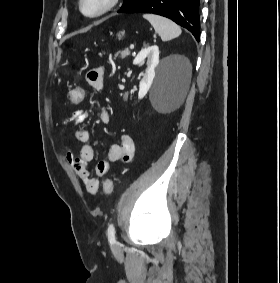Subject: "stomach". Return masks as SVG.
I'll return each mask as SVG.
<instances>
[{
    "label": "stomach",
    "instance_id": "0dacf381",
    "mask_svg": "<svg viewBox=\"0 0 280 283\" xmlns=\"http://www.w3.org/2000/svg\"><path fill=\"white\" fill-rule=\"evenodd\" d=\"M123 36H124V35H123V33H121V32H119V33L117 34V37H118L119 40H121V39L123 38Z\"/></svg>",
    "mask_w": 280,
    "mask_h": 283
}]
</instances>
